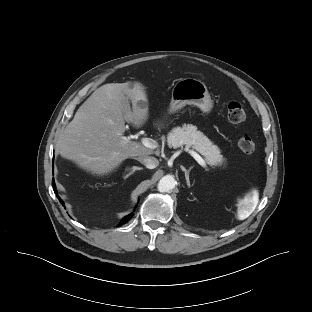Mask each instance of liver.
Listing matches in <instances>:
<instances>
[{
	"instance_id": "6515ba94",
	"label": "liver",
	"mask_w": 312,
	"mask_h": 312,
	"mask_svg": "<svg viewBox=\"0 0 312 312\" xmlns=\"http://www.w3.org/2000/svg\"><path fill=\"white\" fill-rule=\"evenodd\" d=\"M130 99V106L124 100ZM142 107H138V103ZM149 116L145 87L135 82L105 84L79 107L60 140L59 154L97 176L108 175L129 157L154 151L123 136L125 122L139 128Z\"/></svg>"
}]
</instances>
